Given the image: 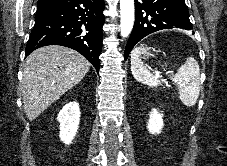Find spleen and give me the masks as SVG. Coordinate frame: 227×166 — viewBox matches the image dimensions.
<instances>
[{
	"mask_svg": "<svg viewBox=\"0 0 227 166\" xmlns=\"http://www.w3.org/2000/svg\"><path fill=\"white\" fill-rule=\"evenodd\" d=\"M131 72L133 77L145 85L157 87L162 84L156 76L141 63L140 47L131 52ZM172 81L178 86L181 102L191 107L196 104L200 93V69L193 57H187L175 74H171Z\"/></svg>",
	"mask_w": 227,
	"mask_h": 166,
	"instance_id": "1",
	"label": "spleen"
}]
</instances>
